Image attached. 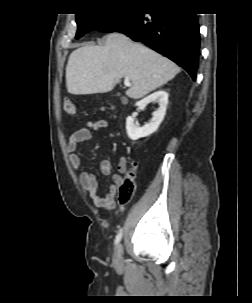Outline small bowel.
Masks as SVG:
<instances>
[{"label": "small bowel", "instance_id": "c3829d8e", "mask_svg": "<svg viewBox=\"0 0 252 303\" xmlns=\"http://www.w3.org/2000/svg\"><path fill=\"white\" fill-rule=\"evenodd\" d=\"M108 122L104 119L86 121L83 127L75 130L69 137L67 144V152L69 162L77 174L78 181L81 187L88 193L93 203L105 209H112L116 204V193L122 182L120 173L125 170V162L122 160L118 165L119 173L112 175V184L105 196H101L98 192V184L95 178L81 170V160L77 154L78 145L88 141L93 132L107 129ZM100 171L103 175L112 174V163L110 160H102L100 162Z\"/></svg>", "mask_w": 252, "mask_h": 303}]
</instances>
